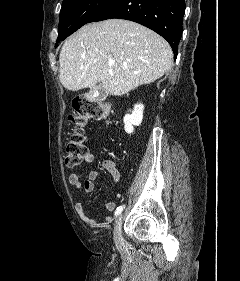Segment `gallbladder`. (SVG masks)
Here are the masks:
<instances>
[{"label": "gallbladder", "instance_id": "bac80fb5", "mask_svg": "<svg viewBox=\"0 0 240 281\" xmlns=\"http://www.w3.org/2000/svg\"><path fill=\"white\" fill-rule=\"evenodd\" d=\"M95 90L93 89V92H94ZM97 97H98V99H101V100H104L105 98H106V91H105V89L104 88H100L99 90H98V95H97Z\"/></svg>", "mask_w": 240, "mask_h": 281}]
</instances>
